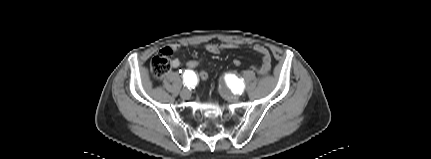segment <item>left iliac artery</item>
Here are the masks:
<instances>
[{
  "label": "left iliac artery",
  "mask_w": 431,
  "mask_h": 159,
  "mask_svg": "<svg viewBox=\"0 0 431 159\" xmlns=\"http://www.w3.org/2000/svg\"><path fill=\"white\" fill-rule=\"evenodd\" d=\"M227 84L232 89V92H234V94H242L245 87L243 81L233 75L228 76Z\"/></svg>",
  "instance_id": "obj_1"
}]
</instances>
